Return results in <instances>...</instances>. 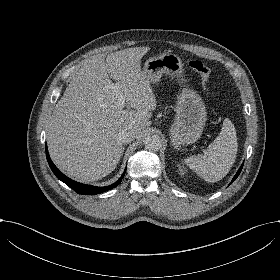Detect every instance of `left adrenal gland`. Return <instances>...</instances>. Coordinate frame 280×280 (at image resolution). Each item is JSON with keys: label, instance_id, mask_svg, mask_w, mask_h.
<instances>
[{"label": "left adrenal gland", "instance_id": "a2214340", "mask_svg": "<svg viewBox=\"0 0 280 280\" xmlns=\"http://www.w3.org/2000/svg\"><path fill=\"white\" fill-rule=\"evenodd\" d=\"M171 148H172L174 151H178V149H177V148H175V147H173V146H172Z\"/></svg>", "mask_w": 280, "mask_h": 280}]
</instances>
